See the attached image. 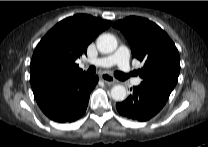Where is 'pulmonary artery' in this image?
<instances>
[{"instance_id":"e3ab8cb5","label":"pulmonary artery","mask_w":208,"mask_h":147,"mask_svg":"<svg viewBox=\"0 0 208 147\" xmlns=\"http://www.w3.org/2000/svg\"><path fill=\"white\" fill-rule=\"evenodd\" d=\"M130 51L126 46H120L117 51L109 56L94 59L89 61L90 64L95 65L97 67L108 68L114 65H117L121 71L125 74H130ZM140 78H133L131 83L135 86L140 84Z\"/></svg>"}]
</instances>
